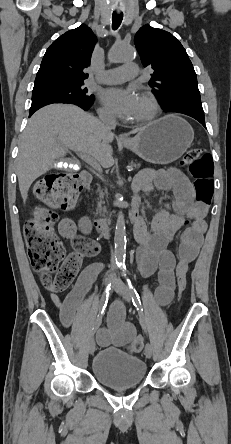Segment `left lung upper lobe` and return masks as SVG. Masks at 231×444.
Instances as JSON below:
<instances>
[{
    "mask_svg": "<svg viewBox=\"0 0 231 444\" xmlns=\"http://www.w3.org/2000/svg\"><path fill=\"white\" fill-rule=\"evenodd\" d=\"M144 67L154 70L149 85L164 110L204 116L197 76L182 44L169 32L143 26L134 37Z\"/></svg>",
    "mask_w": 231,
    "mask_h": 444,
    "instance_id": "5c2ea615",
    "label": "left lung upper lobe"
}]
</instances>
